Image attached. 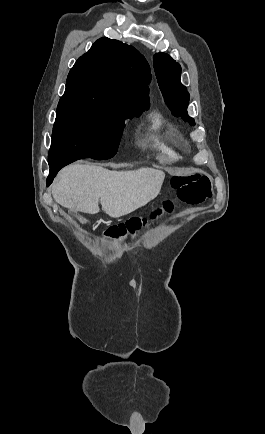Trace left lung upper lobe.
<instances>
[{
  "mask_svg": "<svg viewBox=\"0 0 265 434\" xmlns=\"http://www.w3.org/2000/svg\"><path fill=\"white\" fill-rule=\"evenodd\" d=\"M153 66L160 90L172 114L194 126L193 118L187 114L190 95L180 82V64L165 53H156Z\"/></svg>",
  "mask_w": 265,
  "mask_h": 434,
  "instance_id": "5c2ea615",
  "label": "left lung upper lobe"
}]
</instances>
